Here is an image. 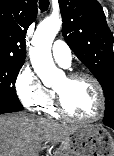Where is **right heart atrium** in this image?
I'll return each mask as SVG.
<instances>
[{
	"instance_id": "d8ad5b80",
	"label": "right heart atrium",
	"mask_w": 114,
	"mask_h": 156,
	"mask_svg": "<svg viewBox=\"0 0 114 156\" xmlns=\"http://www.w3.org/2000/svg\"><path fill=\"white\" fill-rule=\"evenodd\" d=\"M15 91L21 103L30 110L42 109L53 95L28 65H24L18 72Z\"/></svg>"
}]
</instances>
